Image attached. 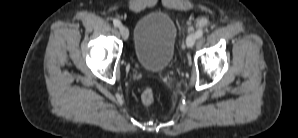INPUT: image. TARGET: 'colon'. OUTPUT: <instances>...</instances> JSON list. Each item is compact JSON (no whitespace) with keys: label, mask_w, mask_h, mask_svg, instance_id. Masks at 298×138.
<instances>
[{"label":"colon","mask_w":298,"mask_h":138,"mask_svg":"<svg viewBox=\"0 0 298 138\" xmlns=\"http://www.w3.org/2000/svg\"><path fill=\"white\" fill-rule=\"evenodd\" d=\"M141 100L145 105H150L154 101L153 92L150 89H145L141 95Z\"/></svg>","instance_id":"5ec220e1"}]
</instances>
